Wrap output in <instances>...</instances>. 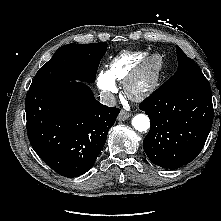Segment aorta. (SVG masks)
I'll list each match as a JSON object with an SVG mask.
<instances>
[{
  "mask_svg": "<svg viewBox=\"0 0 221 221\" xmlns=\"http://www.w3.org/2000/svg\"><path fill=\"white\" fill-rule=\"evenodd\" d=\"M132 125L140 132L147 131L150 128V120L145 114H137L132 119Z\"/></svg>",
  "mask_w": 221,
  "mask_h": 221,
  "instance_id": "762f6f07",
  "label": "aorta"
}]
</instances>
